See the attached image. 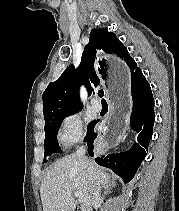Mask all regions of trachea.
Here are the masks:
<instances>
[{"mask_svg": "<svg viewBox=\"0 0 179 211\" xmlns=\"http://www.w3.org/2000/svg\"><path fill=\"white\" fill-rule=\"evenodd\" d=\"M98 95L100 98H102L104 96L103 90H99ZM102 100H104V99H102Z\"/></svg>", "mask_w": 179, "mask_h": 211, "instance_id": "3493384b", "label": "trachea"}]
</instances>
